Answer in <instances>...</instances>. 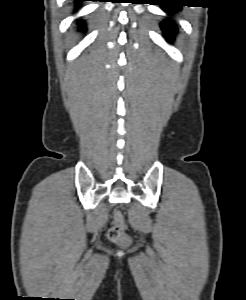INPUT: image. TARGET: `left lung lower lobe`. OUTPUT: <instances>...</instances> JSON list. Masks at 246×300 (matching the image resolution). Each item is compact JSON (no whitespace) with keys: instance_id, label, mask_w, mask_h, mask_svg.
Listing matches in <instances>:
<instances>
[{"instance_id":"left-lung-lower-lobe-1","label":"left lung lower lobe","mask_w":246,"mask_h":300,"mask_svg":"<svg viewBox=\"0 0 246 300\" xmlns=\"http://www.w3.org/2000/svg\"><path fill=\"white\" fill-rule=\"evenodd\" d=\"M158 1L162 2V4L160 5L169 14L175 13L181 9V5L172 3L171 0H158ZM161 27L162 30L167 34V40H170L177 31L176 26L172 24L170 21H164L161 24Z\"/></svg>"}]
</instances>
